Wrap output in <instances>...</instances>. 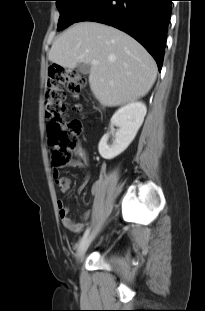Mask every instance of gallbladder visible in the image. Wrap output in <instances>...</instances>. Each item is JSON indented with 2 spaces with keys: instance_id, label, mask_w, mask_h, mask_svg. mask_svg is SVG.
Listing matches in <instances>:
<instances>
[{
  "instance_id": "obj_1",
  "label": "gallbladder",
  "mask_w": 205,
  "mask_h": 311,
  "mask_svg": "<svg viewBox=\"0 0 205 311\" xmlns=\"http://www.w3.org/2000/svg\"><path fill=\"white\" fill-rule=\"evenodd\" d=\"M77 71L83 75H87L90 72V67L87 64L81 63L77 65Z\"/></svg>"
}]
</instances>
